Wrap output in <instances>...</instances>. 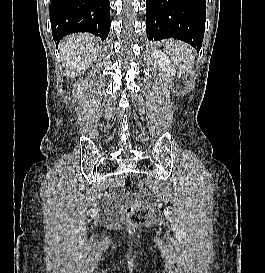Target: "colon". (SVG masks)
I'll return each mask as SVG.
<instances>
[{"label": "colon", "mask_w": 265, "mask_h": 273, "mask_svg": "<svg viewBox=\"0 0 265 273\" xmlns=\"http://www.w3.org/2000/svg\"><path fill=\"white\" fill-rule=\"evenodd\" d=\"M124 187L129 198L120 208L123 222L135 226L147 224L151 208L142 194V183L139 177L135 174L127 175L124 179Z\"/></svg>", "instance_id": "colon-1"}]
</instances>
